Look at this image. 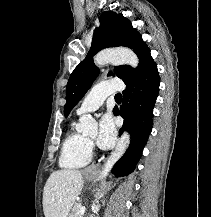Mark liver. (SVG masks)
Here are the masks:
<instances>
[{
	"label": "liver",
	"instance_id": "6515ba94",
	"mask_svg": "<svg viewBox=\"0 0 211 217\" xmlns=\"http://www.w3.org/2000/svg\"><path fill=\"white\" fill-rule=\"evenodd\" d=\"M83 184L82 171L62 169L53 172L43 192L45 217H68Z\"/></svg>",
	"mask_w": 211,
	"mask_h": 217
}]
</instances>
